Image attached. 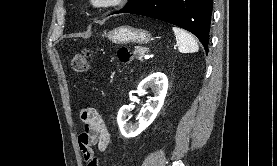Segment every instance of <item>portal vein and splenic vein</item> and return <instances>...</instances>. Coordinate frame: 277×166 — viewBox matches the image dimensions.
<instances>
[{"mask_svg": "<svg viewBox=\"0 0 277 166\" xmlns=\"http://www.w3.org/2000/svg\"><path fill=\"white\" fill-rule=\"evenodd\" d=\"M149 57H150V56H149L148 54L144 55V58H145V59H149Z\"/></svg>", "mask_w": 277, "mask_h": 166, "instance_id": "1", "label": "portal vein and splenic vein"}]
</instances>
